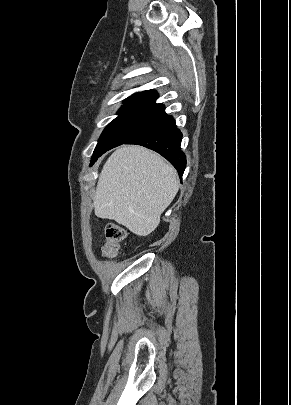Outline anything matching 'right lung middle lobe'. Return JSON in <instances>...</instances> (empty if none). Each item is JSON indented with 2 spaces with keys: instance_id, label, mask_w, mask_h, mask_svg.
Returning a JSON list of instances; mask_svg holds the SVG:
<instances>
[{
  "instance_id": "right-lung-middle-lobe-1",
  "label": "right lung middle lobe",
  "mask_w": 291,
  "mask_h": 405,
  "mask_svg": "<svg viewBox=\"0 0 291 405\" xmlns=\"http://www.w3.org/2000/svg\"><path fill=\"white\" fill-rule=\"evenodd\" d=\"M115 118L101 134L94 150L91 163L106 151L153 126L166 116L164 106L145 101L125 102Z\"/></svg>"
}]
</instances>
